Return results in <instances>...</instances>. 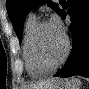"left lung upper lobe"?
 Here are the masks:
<instances>
[{
	"mask_svg": "<svg viewBox=\"0 0 89 89\" xmlns=\"http://www.w3.org/2000/svg\"><path fill=\"white\" fill-rule=\"evenodd\" d=\"M48 3L58 14L62 11L57 4L50 0H7L6 7L9 19L21 43L22 29L26 15L34 8Z\"/></svg>",
	"mask_w": 89,
	"mask_h": 89,
	"instance_id": "left-lung-upper-lobe-1",
	"label": "left lung upper lobe"
}]
</instances>
